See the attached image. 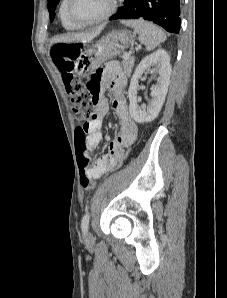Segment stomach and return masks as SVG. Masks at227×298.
Listing matches in <instances>:
<instances>
[{
	"mask_svg": "<svg viewBox=\"0 0 227 298\" xmlns=\"http://www.w3.org/2000/svg\"><path fill=\"white\" fill-rule=\"evenodd\" d=\"M134 35L126 30L111 31L95 45L81 53L74 71L81 78L88 77L101 63L120 55L130 44Z\"/></svg>",
	"mask_w": 227,
	"mask_h": 298,
	"instance_id": "obj_1",
	"label": "stomach"
}]
</instances>
